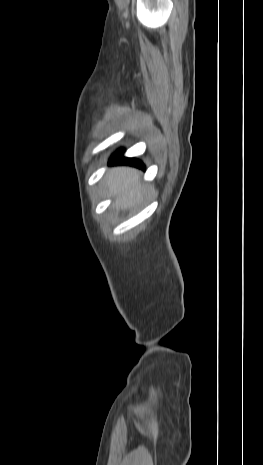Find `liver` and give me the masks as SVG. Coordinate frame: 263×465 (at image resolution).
Segmentation results:
<instances>
[{
    "instance_id": "1",
    "label": "liver",
    "mask_w": 263,
    "mask_h": 465,
    "mask_svg": "<svg viewBox=\"0 0 263 465\" xmlns=\"http://www.w3.org/2000/svg\"><path fill=\"white\" fill-rule=\"evenodd\" d=\"M141 173L129 167L112 168L105 176L109 194L115 196V208H130L139 203L146 192L140 182Z\"/></svg>"
}]
</instances>
